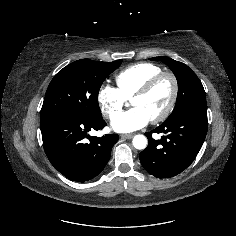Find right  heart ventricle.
Instances as JSON below:
<instances>
[{
  "label": "right heart ventricle",
  "instance_id": "obj_1",
  "mask_svg": "<svg viewBox=\"0 0 236 236\" xmlns=\"http://www.w3.org/2000/svg\"><path fill=\"white\" fill-rule=\"evenodd\" d=\"M162 68L151 63H139L129 66L115 77L120 93L130 99L148 80L160 74Z\"/></svg>",
  "mask_w": 236,
  "mask_h": 236
}]
</instances>
